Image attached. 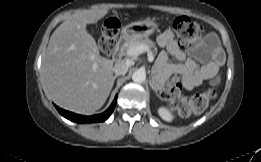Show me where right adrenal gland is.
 <instances>
[{
	"instance_id": "right-adrenal-gland-1",
	"label": "right adrenal gland",
	"mask_w": 261,
	"mask_h": 162,
	"mask_svg": "<svg viewBox=\"0 0 261 162\" xmlns=\"http://www.w3.org/2000/svg\"><path fill=\"white\" fill-rule=\"evenodd\" d=\"M118 76H119V75H115V76L113 77V83H114L115 79H116Z\"/></svg>"
}]
</instances>
